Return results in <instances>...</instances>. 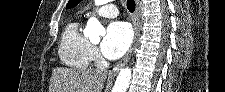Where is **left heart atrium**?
Segmentation results:
<instances>
[{"mask_svg":"<svg viewBox=\"0 0 225 92\" xmlns=\"http://www.w3.org/2000/svg\"><path fill=\"white\" fill-rule=\"evenodd\" d=\"M132 41V29L126 22H112L107 27L106 35L101 44L102 54L108 59L121 57Z\"/></svg>","mask_w":225,"mask_h":92,"instance_id":"39dd6f15","label":"left heart atrium"}]
</instances>
